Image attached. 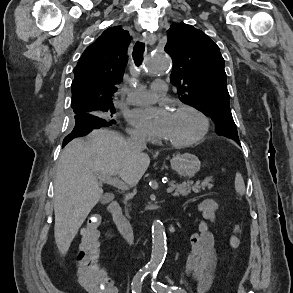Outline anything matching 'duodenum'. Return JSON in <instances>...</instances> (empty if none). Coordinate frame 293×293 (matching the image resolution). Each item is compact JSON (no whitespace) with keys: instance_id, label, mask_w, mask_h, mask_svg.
I'll list each match as a JSON object with an SVG mask.
<instances>
[{"instance_id":"duodenum-1","label":"duodenum","mask_w":293,"mask_h":293,"mask_svg":"<svg viewBox=\"0 0 293 293\" xmlns=\"http://www.w3.org/2000/svg\"><path fill=\"white\" fill-rule=\"evenodd\" d=\"M108 211L113 217L119 232L127 244H132L134 241V228L129 220L124 216L120 204L114 200L108 204Z\"/></svg>"}]
</instances>
